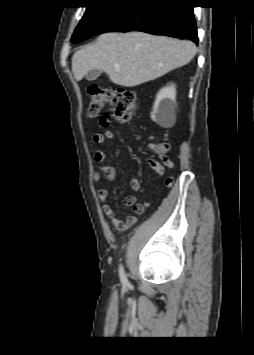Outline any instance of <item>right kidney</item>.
Returning <instances> with one entry per match:
<instances>
[{
  "mask_svg": "<svg viewBox=\"0 0 254 355\" xmlns=\"http://www.w3.org/2000/svg\"><path fill=\"white\" fill-rule=\"evenodd\" d=\"M176 88L174 84L162 88L154 104L151 118L160 125L169 124L173 121L176 109Z\"/></svg>",
  "mask_w": 254,
  "mask_h": 355,
  "instance_id": "ca27d5eb",
  "label": "right kidney"
}]
</instances>
